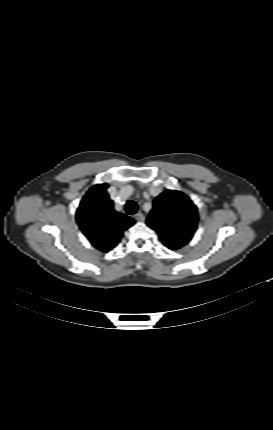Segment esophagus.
Here are the masks:
<instances>
[{"label": "esophagus", "instance_id": "esophagus-1", "mask_svg": "<svg viewBox=\"0 0 273 430\" xmlns=\"http://www.w3.org/2000/svg\"><path fill=\"white\" fill-rule=\"evenodd\" d=\"M134 218L137 221H143L144 220V215L141 212H138L137 214L134 215Z\"/></svg>", "mask_w": 273, "mask_h": 430}]
</instances>
